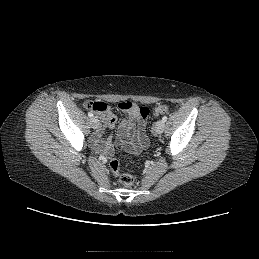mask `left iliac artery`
<instances>
[{"mask_svg":"<svg viewBox=\"0 0 259 259\" xmlns=\"http://www.w3.org/2000/svg\"><path fill=\"white\" fill-rule=\"evenodd\" d=\"M162 120H163L164 122H166V121H167V116H163Z\"/></svg>","mask_w":259,"mask_h":259,"instance_id":"left-iliac-artery-1","label":"left iliac artery"}]
</instances>
